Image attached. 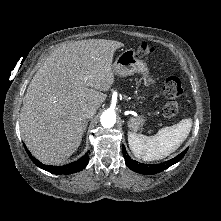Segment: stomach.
<instances>
[{"instance_id":"1","label":"stomach","mask_w":221,"mask_h":221,"mask_svg":"<svg viewBox=\"0 0 221 221\" xmlns=\"http://www.w3.org/2000/svg\"><path fill=\"white\" fill-rule=\"evenodd\" d=\"M113 71L118 76H128L140 73L146 77L148 74V67L143 60L137 57V53L134 49H126L114 62ZM146 120L144 115L132 117L128 121V127L133 131H137L145 124Z\"/></svg>"}]
</instances>
